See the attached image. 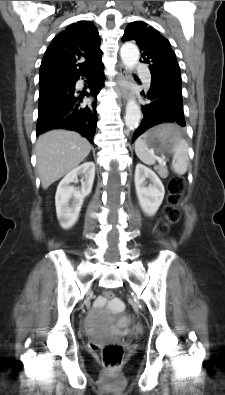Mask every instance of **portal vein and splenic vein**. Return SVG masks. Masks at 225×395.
Wrapping results in <instances>:
<instances>
[{"mask_svg":"<svg viewBox=\"0 0 225 395\" xmlns=\"http://www.w3.org/2000/svg\"><path fill=\"white\" fill-rule=\"evenodd\" d=\"M157 160H158V162H159V164L161 165V166H166V161L164 160V158H157Z\"/></svg>","mask_w":225,"mask_h":395,"instance_id":"portal-vein-and-splenic-vein-1","label":"portal vein and splenic vein"}]
</instances>
